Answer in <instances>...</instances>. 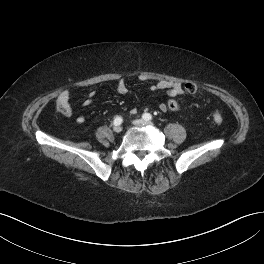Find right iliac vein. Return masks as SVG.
<instances>
[{"instance_id": "1", "label": "right iliac vein", "mask_w": 264, "mask_h": 264, "mask_svg": "<svg viewBox=\"0 0 264 264\" xmlns=\"http://www.w3.org/2000/svg\"><path fill=\"white\" fill-rule=\"evenodd\" d=\"M113 130L116 132V133H120L122 131V128L120 126H115L113 128Z\"/></svg>"}]
</instances>
